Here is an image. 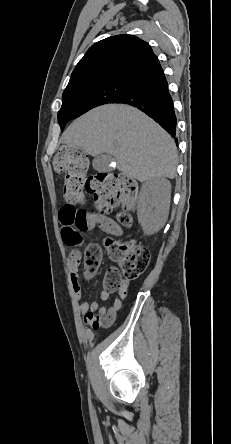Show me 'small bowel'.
<instances>
[{
    "instance_id": "obj_1",
    "label": "small bowel",
    "mask_w": 231,
    "mask_h": 444,
    "mask_svg": "<svg viewBox=\"0 0 231 444\" xmlns=\"http://www.w3.org/2000/svg\"><path fill=\"white\" fill-rule=\"evenodd\" d=\"M63 207L60 210V221ZM97 227L109 234L119 235L121 233L119 226L107 217H100L97 222ZM61 233L63 241L68 246H76L80 241V234L73 228L62 224ZM79 264L80 253L77 250H73L69 259V267L75 300L78 302L79 312L82 315L84 322L93 329L112 324L116 312L121 308L123 300L127 297L129 281L125 280L122 282L121 288L119 289V297L112 300L106 306H101L100 302L97 300L92 302L88 300L81 301L82 287L80 282ZM108 297L109 293L106 291L100 293L101 301H106Z\"/></svg>"
}]
</instances>
